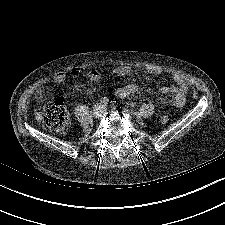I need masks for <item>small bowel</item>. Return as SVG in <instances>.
Returning <instances> with one entry per match:
<instances>
[{
  "instance_id": "obj_1",
  "label": "small bowel",
  "mask_w": 225,
  "mask_h": 225,
  "mask_svg": "<svg viewBox=\"0 0 225 225\" xmlns=\"http://www.w3.org/2000/svg\"><path fill=\"white\" fill-rule=\"evenodd\" d=\"M131 73H132L131 68L125 65L118 66L113 70V74L119 77L129 76L131 75ZM152 73L157 74V73H160V71L152 70ZM68 75L73 77L85 75L91 81H96L100 78V74L96 70L84 71L83 69L79 67H73L67 71L66 70L56 71L52 76V81H54L55 83H63L66 80ZM175 82L177 86L161 87L160 92L161 94H167V93L173 94L174 95L173 105L176 107H182L186 99L187 86L183 78L180 76L175 77ZM137 90H138V87L136 85L128 84V85L117 87L114 90V93L116 96L120 98H125L134 94ZM44 92H45V89L43 85L38 86L35 90V98L39 103H41L44 100Z\"/></svg>"
}]
</instances>
